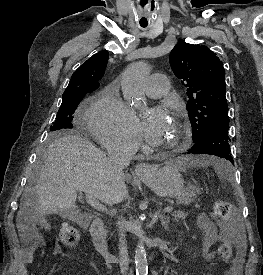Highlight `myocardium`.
<instances>
[{"mask_svg":"<svg viewBox=\"0 0 263 275\" xmlns=\"http://www.w3.org/2000/svg\"><path fill=\"white\" fill-rule=\"evenodd\" d=\"M174 123L177 129V136L172 143L165 145L163 147L168 151H175L185 147L189 139L188 126L184 122H181L180 120H175Z\"/></svg>","mask_w":263,"mask_h":275,"instance_id":"f54148a6","label":"myocardium"}]
</instances>
